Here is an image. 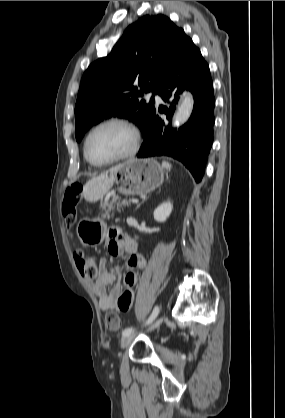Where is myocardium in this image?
Here are the masks:
<instances>
[{"mask_svg": "<svg viewBox=\"0 0 285 418\" xmlns=\"http://www.w3.org/2000/svg\"><path fill=\"white\" fill-rule=\"evenodd\" d=\"M106 125H120V126L125 127L126 129H128L130 131V133L132 134V138H133L132 145H131L130 149L127 152H125V153H123V154H121L119 156L113 157V158L108 159V160H105V161L96 162V161L92 160L89 157V155H88V151H87L88 142H89V139H90L91 135L96 130H98L99 128H101L103 126H106ZM139 139H140L139 132H138L137 128L135 127V125H133L131 122H129L128 120H125L123 118H117V117L108 118V119H105V120L100 121L99 123H97L96 125H94L88 131V133H87V135H86V137L84 139V143H83V154H84L85 159L91 165H94V166H106V165H110V164H113V163H116V162H119V161H122V160H126L128 158L133 157L136 154V152L138 151V148H139Z\"/></svg>", "mask_w": 285, "mask_h": 418, "instance_id": "myocardium-1", "label": "myocardium"}]
</instances>
